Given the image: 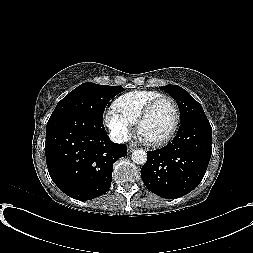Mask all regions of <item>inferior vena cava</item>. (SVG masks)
I'll use <instances>...</instances> for the list:
<instances>
[{
    "label": "inferior vena cava",
    "instance_id": "602c4592",
    "mask_svg": "<svg viewBox=\"0 0 253 253\" xmlns=\"http://www.w3.org/2000/svg\"><path fill=\"white\" fill-rule=\"evenodd\" d=\"M110 138L113 142L115 143H124V142H127L128 141V137L125 136V135H122V134H111L110 135Z\"/></svg>",
    "mask_w": 253,
    "mask_h": 253
}]
</instances>
